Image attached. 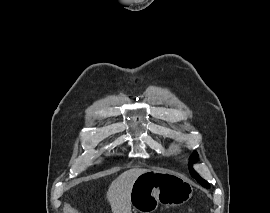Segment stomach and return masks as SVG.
<instances>
[{
	"instance_id": "1",
	"label": "stomach",
	"mask_w": 270,
	"mask_h": 213,
	"mask_svg": "<svg viewBox=\"0 0 270 213\" xmlns=\"http://www.w3.org/2000/svg\"><path fill=\"white\" fill-rule=\"evenodd\" d=\"M193 193L191 182L181 174L154 168L136 178L131 189V205L139 213H153L159 204L175 207Z\"/></svg>"
}]
</instances>
